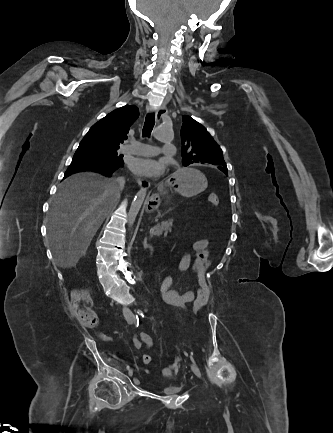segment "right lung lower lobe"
<instances>
[{
	"label": "right lung lower lobe",
	"instance_id": "right-lung-lower-lobe-1",
	"mask_svg": "<svg viewBox=\"0 0 333 433\" xmlns=\"http://www.w3.org/2000/svg\"><path fill=\"white\" fill-rule=\"evenodd\" d=\"M123 166L124 161L122 160V158L118 162H106L96 159L73 158L70 166L68 167L64 175V178L68 177L73 173L85 170L97 171L102 175L110 177L114 171L121 169Z\"/></svg>",
	"mask_w": 333,
	"mask_h": 433
}]
</instances>
